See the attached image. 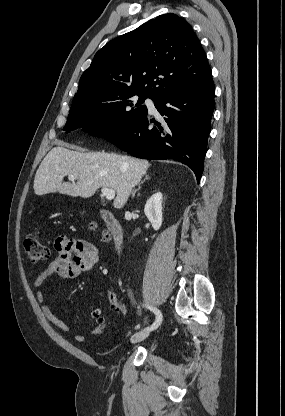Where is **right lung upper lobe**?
<instances>
[{"label":"right lung upper lobe","mask_w":285,"mask_h":416,"mask_svg":"<svg viewBox=\"0 0 285 416\" xmlns=\"http://www.w3.org/2000/svg\"><path fill=\"white\" fill-rule=\"evenodd\" d=\"M211 76L206 54L191 25L168 13L100 49L80 78L70 111L125 96L158 101Z\"/></svg>","instance_id":"cb5924a9"}]
</instances>
